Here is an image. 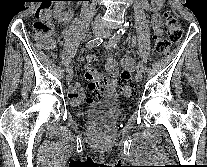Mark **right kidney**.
<instances>
[{
    "label": "right kidney",
    "mask_w": 207,
    "mask_h": 167,
    "mask_svg": "<svg viewBox=\"0 0 207 167\" xmlns=\"http://www.w3.org/2000/svg\"><path fill=\"white\" fill-rule=\"evenodd\" d=\"M66 2L65 1H56L54 6V14L59 21H62L66 18L68 14L64 12Z\"/></svg>",
    "instance_id": "obj_1"
}]
</instances>
